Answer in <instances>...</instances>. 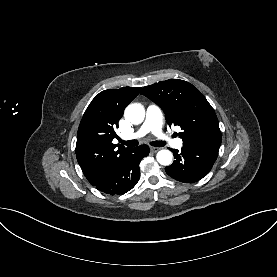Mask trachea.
Segmentation results:
<instances>
[{"label": "trachea", "instance_id": "3493384b", "mask_svg": "<svg viewBox=\"0 0 277 277\" xmlns=\"http://www.w3.org/2000/svg\"><path fill=\"white\" fill-rule=\"evenodd\" d=\"M120 142L128 147H135L139 144L137 140L120 141ZM150 144L155 147H163L165 146L166 143L163 141H152Z\"/></svg>", "mask_w": 277, "mask_h": 277}]
</instances>
